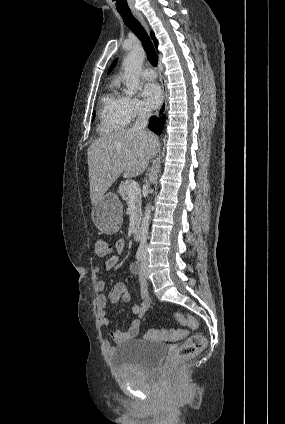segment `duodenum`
I'll use <instances>...</instances> for the list:
<instances>
[{
    "instance_id": "duodenum-1",
    "label": "duodenum",
    "mask_w": 285,
    "mask_h": 424,
    "mask_svg": "<svg viewBox=\"0 0 285 424\" xmlns=\"http://www.w3.org/2000/svg\"><path fill=\"white\" fill-rule=\"evenodd\" d=\"M133 238L136 241H140L142 238V229H141V225L137 224L135 226V229L133 231Z\"/></svg>"
}]
</instances>
